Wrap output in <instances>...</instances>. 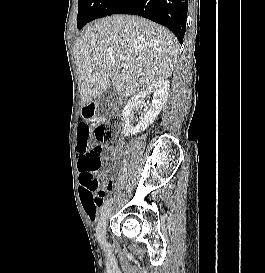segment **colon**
Returning <instances> with one entry per match:
<instances>
[{
	"label": "colon",
	"instance_id": "colon-1",
	"mask_svg": "<svg viewBox=\"0 0 265 273\" xmlns=\"http://www.w3.org/2000/svg\"><path fill=\"white\" fill-rule=\"evenodd\" d=\"M119 127L120 118L112 117L108 122L97 125L95 129L77 130L76 150L80 156L79 170L83 193L104 195V189L96 178L101 163V144L110 142L117 135Z\"/></svg>",
	"mask_w": 265,
	"mask_h": 273
}]
</instances>
